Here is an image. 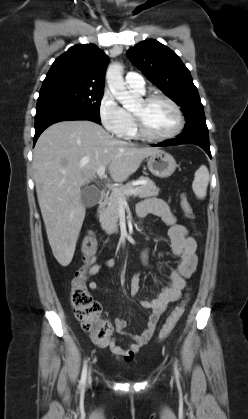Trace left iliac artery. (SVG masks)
<instances>
[{
	"instance_id": "1",
	"label": "left iliac artery",
	"mask_w": 248,
	"mask_h": 419,
	"mask_svg": "<svg viewBox=\"0 0 248 419\" xmlns=\"http://www.w3.org/2000/svg\"><path fill=\"white\" fill-rule=\"evenodd\" d=\"M174 368H175V374H176V376H179V371H178V367H177L176 362L174 364Z\"/></svg>"
}]
</instances>
